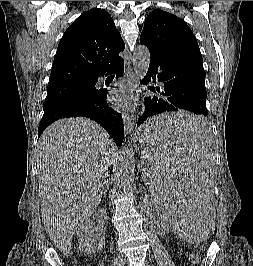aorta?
Instances as JSON below:
<instances>
[{
  "mask_svg": "<svg viewBox=\"0 0 253 266\" xmlns=\"http://www.w3.org/2000/svg\"><path fill=\"white\" fill-rule=\"evenodd\" d=\"M134 73L137 80H142L146 76L150 63L149 49L144 45L135 48L134 53ZM120 186L123 190H128L135 175V161L133 150L129 146L122 147L117 164Z\"/></svg>",
  "mask_w": 253,
  "mask_h": 266,
  "instance_id": "762f6f07",
  "label": "aorta"
}]
</instances>
